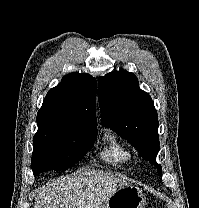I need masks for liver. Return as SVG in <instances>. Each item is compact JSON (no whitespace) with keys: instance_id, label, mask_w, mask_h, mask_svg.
I'll list each match as a JSON object with an SVG mask.
<instances>
[{"instance_id":"6515ba94","label":"liver","mask_w":199,"mask_h":208,"mask_svg":"<svg viewBox=\"0 0 199 208\" xmlns=\"http://www.w3.org/2000/svg\"><path fill=\"white\" fill-rule=\"evenodd\" d=\"M125 185V179L103 170L82 169L39 188L34 208H97Z\"/></svg>"}]
</instances>
